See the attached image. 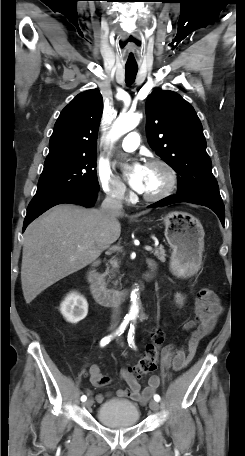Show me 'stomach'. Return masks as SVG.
Masks as SVG:
<instances>
[{
	"label": "stomach",
	"instance_id": "obj_1",
	"mask_svg": "<svg viewBox=\"0 0 245 456\" xmlns=\"http://www.w3.org/2000/svg\"><path fill=\"white\" fill-rule=\"evenodd\" d=\"M165 237L172 249L170 266L174 274L188 277L196 273L202 262L205 232L193 215L173 211L163 218Z\"/></svg>",
	"mask_w": 245,
	"mask_h": 456
}]
</instances>
